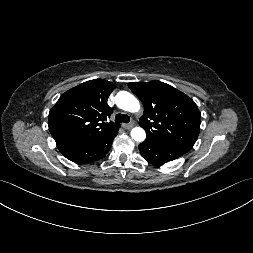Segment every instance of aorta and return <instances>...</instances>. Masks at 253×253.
<instances>
[{
  "mask_svg": "<svg viewBox=\"0 0 253 253\" xmlns=\"http://www.w3.org/2000/svg\"><path fill=\"white\" fill-rule=\"evenodd\" d=\"M115 101L120 109L128 112H138L140 109L137 98L127 91L118 92ZM131 137L137 142H142L146 138V133L143 128L135 127L131 130Z\"/></svg>",
  "mask_w": 253,
  "mask_h": 253,
  "instance_id": "obj_1",
  "label": "aorta"
}]
</instances>
